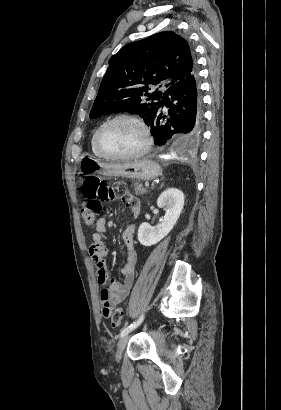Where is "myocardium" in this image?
<instances>
[{"label":"myocardium","instance_id":"1","mask_svg":"<svg viewBox=\"0 0 281 410\" xmlns=\"http://www.w3.org/2000/svg\"><path fill=\"white\" fill-rule=\"evenodd\" d=\"M118 120H129L133 123H135L143 132L145 141L141 149L134 153L130 154H124V155H115L107 152L101 144V133L102 131L110 124L118 121ZM94 140H95V147L97 151L103 156V158L109 159V160H129V159H135L144 156L146 153H148L152 147L153 144V138L151 135V132L148 128V126L144 123L142 119L139 117L129 114V113H121L113 116L112 118L106 120L103 122L95 131L94 135Z\"/></svg>","mask_w":281,"mask_h":410}]
</instances>
